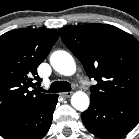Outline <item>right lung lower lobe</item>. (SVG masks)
<instances>
[{"instance_id":"98d812e1","label":"right lung lower lobe","mask_w":139,"mask_h":139,"mask_svg":"<svg viewBox=\"0 0 139 139\" xmlns=\"http://www.w3.org/2000/svg\"><path fill=\"white\" fill-rule=\"evenodd\" d=\"M54 94L37 109L0 125V135L5 139H41L48 132L58 101Z\"/></svg>"}]
</instances>
